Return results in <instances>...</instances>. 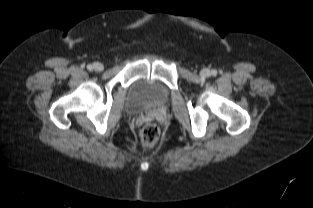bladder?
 Segmentation results:
<instances>
[{
	"label": "bladder",
	"instance_id": "31cf9c89",
	"mask_svg": "<svg viewBox=\"0 0 313 208\" xmlns=\"http://www.w3.org/2000/svg\"><path fill=\"white\" fill-rule=\"evenodd\" d=\"M168 95L167 87L160 82L137 80L130 87L126 105L130 111H141L163 104Z\"/></svg>",
	"mask_w": 313,
	"mask_h": 208
}]
</instances>
